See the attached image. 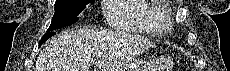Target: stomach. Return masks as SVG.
Segmentation results:
<instances>
[{"mask_svg":"<svg viewBox=\"0 0 230 71\" xmlns=\"http://www.w3.org/2000/svg\"><path fill=\"white\" fill-rule=\"evenodd\" d=\"M159 66L152 69H158V71H169L170 67L173 65L171 58L163 56L158 60ZM148 66L140 63L127 64L120 69V71H150ZM156 71V70H155Z\"/></svg>","mask_w":230,"mask_h":71,"instance_id":"0dacf381","label":"stomach"}]
</instances>
